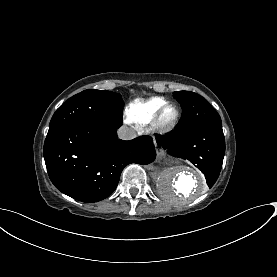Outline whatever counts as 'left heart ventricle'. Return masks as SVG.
Here are the masks:
<instances>
[{"label": "left heart ventricle", "mask_w": 277, "mask_h": 277, "mask_svg": "<svg viewBox=\"0 0 277 277\" xmlns=\"http://www.w3.org/2000/svg\"><path fill=\"white\" fill-rule=\"evenodd\" d=\"M174 114H175V110L174 108H168L164 114H163V122L164 123H169L172 121V119L174 118Z\"/></svg>", "instance_id": "obj_1"}]
</instances>
